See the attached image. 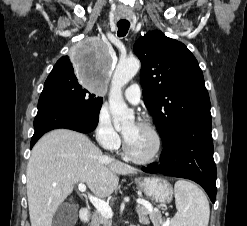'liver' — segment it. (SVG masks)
<instances>
[{
	"label": "liver",
	"mask_w": 247,
	"mask_h": 226,
	"mask_svg": "<svg viewBox=\"0 0 247 226\" xmlns=\"http://www.w3.org/2000/svg\"><path fill=\"white\" fill-rule=\"evenodd\" d=\"M138 171L102 154L78 132L56 129L33 147L27 165V198L31 226H51L58 207L76 183H86L99 198L116 190L119 175Z\"/></svg>",
	"instance_id": "6515ba94"
}]
</instances>
